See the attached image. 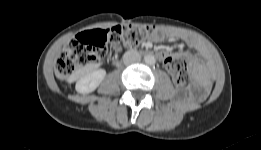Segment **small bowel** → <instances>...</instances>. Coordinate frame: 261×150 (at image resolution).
<instances>
[{"mask_svg":"<svg viewBox=\"0 0 261 150\" xmlns=\"http://www.w3.org/2000/svg\"><path fill=\"white\" fill-rule=\"evenodd\" d=\"M165 38L175 39V40H182L184 41L190 48H193L195 50L201 51V44L192 37L191 35L181 33L178 31L173 30H157L154 31V33L150 36V40L152 42H160L164 40ZM147 47H150V42L146 43ZM174 53L169 50H163L158 52V58L162 60L165 64V67L167 68V61L169 59L174 58ZM186 57V56H183ZM197 69L200 71L202 69V66L197 64Z\"/></svg>","mask_w":261,"mask_h":150,"instance_id":"obj_1","label":"small bowel"}]
</instances>
